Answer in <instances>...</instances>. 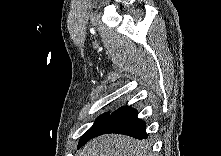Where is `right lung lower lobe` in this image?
<instances>
[{
	"label": "right lung lower lobe",
	"mask_w": 221,
	"mask_h": 156,
	"mask_svg": "<svg viewBox=\"0 0 221 156\" xmlns=\"http://www.w3.org/2000/svg\"><path fill=\"white\" fill-rule=\"evenodd\" d=\"M107 133L124 134L139 140L147 138L145 123L137 117L135 109L127 106L110 114L93 138Z\"/></svg>",
	"instance_id": "right-lung-lower-lobe-1"
}]
</instances>
